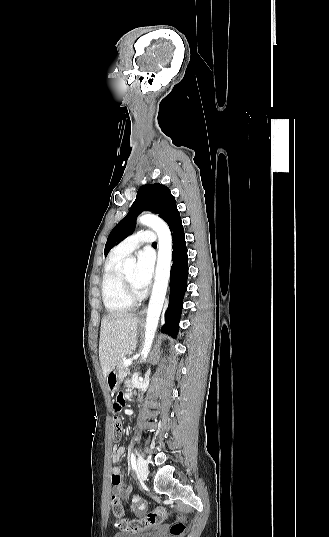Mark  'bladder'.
Returning a JSON list of instances; mask_svg holds the SVG:
<instances>
[{"mask_svg":"<svg viewBox=\"0 0 329 537\" xmlns=\"http://www.w3.org/2000/svg\"><path fill=\"white\" fill-rule=\"evenodd\" d=\"M155 532H157V528H153L152 530L146 531H138L134 533L117 532L112 537H152Z\"/></svg>","mask_w":329,"mask_h":537,"instance_id":"1","label":"bladder"}]
</instances>
